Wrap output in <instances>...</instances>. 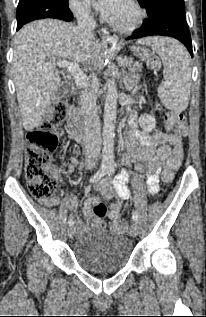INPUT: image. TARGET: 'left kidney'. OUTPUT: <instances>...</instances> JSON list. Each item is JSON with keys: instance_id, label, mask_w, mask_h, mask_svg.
I'll return each mask as SVG.
<instances>
[{"instance_id": "1", "label": "left kidney", "mask_w": 206, "mask_h": 317, "mask_svg": "<svg viewBox=\"0 0 206 317\" xmlns=\"http://www.w3.org/2000/svg\"><path fill=\"white\" fill-rule=\"evenodd\" d=\"M138 122H139V125L141 126V128L146 132L152 131L156 126L155 116L151 115V114H146V115L140 116Z\"/></svg>"}]
</instances>
